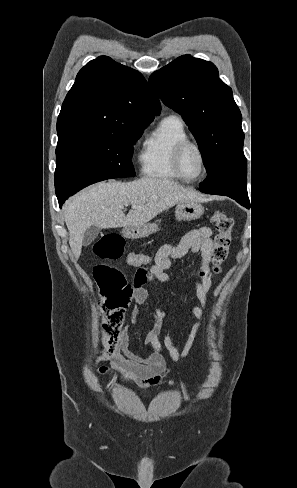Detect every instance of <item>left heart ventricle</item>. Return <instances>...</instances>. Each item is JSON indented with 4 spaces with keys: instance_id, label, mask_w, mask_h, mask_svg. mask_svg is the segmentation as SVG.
<instances>
[{
    "instance_id": "left-heart-ventricle-1",
    "label": "left heart ventricle",
    "mask_w": 297,
    "mask_h": 488,
    "mask_svg": "<svg viewBox=\"0 0 297 488\" xmlns=\"http://www.w3.org/2000/svg\"><path fill=\"white\" fill-rule=\"evenodd\" d=\"M181 168L187 177L197 176L202 168L201 157L193 147H188L181 158Z\"/></svg>"
}]
</instances>
